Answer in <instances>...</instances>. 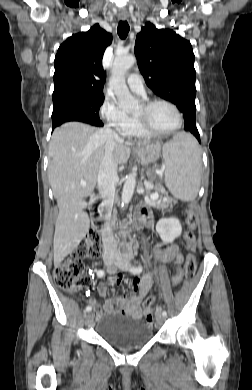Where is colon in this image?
Masks as SVG:
<instances>
[{
    "label": "colon",
    "instance_id": "colon-1",
    "mask_svg": "<svg viewBox=\"0 0 252 390\" xmlns=\"http://www.w3.org/2000/svg\"><path fill=\"white\" fill-rule=\"evenodd\" d=\"M198 217L193 208L187 212L186 224L188 232L185 234V247L189 252L196 250V236L193 232L197 225ZM100 237L96 232H92L88 237L84 238L74 249L70 257L56 265L54 269V279L56 284L67 292H77L86 283L84 276V265L82 260L88 257H96L100 254ZM196 271L195 257L190 254L187 257L185 264V276L187 279H192ZM136 289V287H134ZM155 301L154 297H149L145 305L150 306ZM153 316L148 314L146 322L152 324Z\"/></svg>",
    "mask_w": 252,
    "mask_h": 390
}]
</instances>
